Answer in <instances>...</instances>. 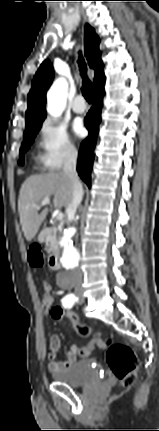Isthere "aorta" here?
I'll return each instance as SVG.
<instances>
[{
	"label": "aorta",
	"mask_w": 159,
	"mask_h": 431,
	"mask_svg": "<svg viewBox=\"0 0 159 431\" xmlns=\"http://www.w3.org/2000/svg\"><path fill=\"white\" fill-rule=\"evenodd\" d=\"M68 84L64 78L54 81L47 93V110L53 116H60L67 101ZM77 229L74 226L68 228L62 235V265L68 269L78 267L80 255L75 246L71 244Z\"/></svg>",
	"instance_id": "obj_1"
}]
</instances>
